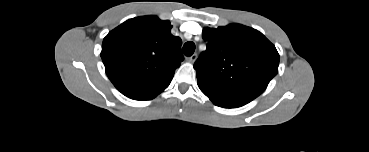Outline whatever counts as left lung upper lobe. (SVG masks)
<instances>
[{
  "label": "left lung upper lobe",
  "mask_w": 369,
  "mask_h": 152,
  "mask_svg": "<svg viewBox=\"0 0 369 152\" xmlns=\"http://www.w3.org/2000/svg\"><path fill=\"white\" fill-rule=\"evenodd\" d=\"M203 38L207 49L194 64L201 86L253 100L278 73L275 46L253 28L241 24L205 28Z\"/></svg>",
  "instance_id": "1"
}]
</instances>
